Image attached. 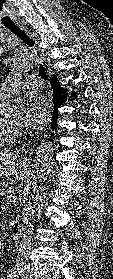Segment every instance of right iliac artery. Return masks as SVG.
I'll return each instance as SVG.
<instances>
[{
    "label": "right iliac artery",
    "instance_id": "obj_1",
    "mask_svg": "<svg viewBox=\"0 0 113 279\" xmlns=\"http://www.w3.org/2000/svg\"><path fill=\"white\" fill-rule=\"evenodd\" d=\"M17 276H18V271L17 270H13L9 274V279H16Z\"/></svg>",
    "mask_w": 113,
    "mask_h": 279
}]
</instances>
